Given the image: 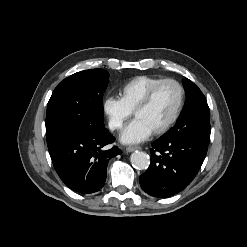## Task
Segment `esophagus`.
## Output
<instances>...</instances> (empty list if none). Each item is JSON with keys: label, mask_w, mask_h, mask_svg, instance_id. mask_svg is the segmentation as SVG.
<instances>
[{"label": "esophagus", "mask_w": 247, "mask_h": 247, "mask_svg": "<svg viewBox=\"0 0 247 247\" xmlns=\"http://www.w3.org/2000/svg\"><path fill=\"white\" fill-rule=\"evenodd\" d=\"M139 149H141V147H139V146H128V147H126V151L127 152H133V151L139 150Z\"/></svg>", "instance_id": "1"}]
</instances>
